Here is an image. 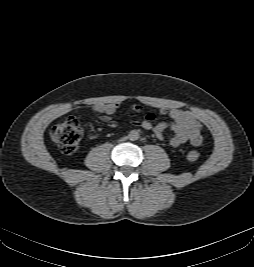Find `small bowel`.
I'll return each mask as SVG.
<instances>
[{
    "instance_id": "small-bowel-1",
    "label": "small bowel",
    "mask_w": 254,
    "mask_h": 267,
    "mask_svg": "<svg viewBox=\"0 0 254 267\" xmlns=\"http://www.w3.org/2000/svg\"><path fill=\"white\" fill-rule=\"evenodd\" d=\"M120 107L121 103L118 102L97 103L91 107V110L100 114L103 121H109L110 116ZM132 110L139 112L141 111V106L135 104L132 106ZM158 113L161 115L168 114L171 121L155 124L154 120L156 119V114L149 112L145 115L143 120H135L133 124L145 130L152 131L159 139L163 138L166 129H170L173 132V136L170 139V144L173 147H178L187 142L193 146L201 145L203 141L202 125L192 113L181 109L168 110L167 108H160Z\"/></svg>"
}]
</instances>
